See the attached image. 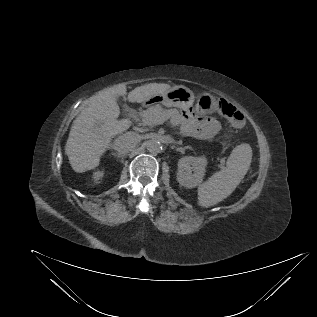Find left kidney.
Wrapping results in <instances>:
<instances>
[{
    "mask_svg": "<svg viewBox=\"0 0 317 317\" xmlns=\"http://www.w3.org/2000/svg\"><path fill=\"white\" fill-rule=\"evenodd\" d=\"M207 159L205 156H185L178 161L177 180L181 186L194 188L204 177Z\"/></svg>",
    "mask_w": 317,
    "mask_h": 317,
    "instance_id": "5707ae66",
    "label": "left kidney"
}]
</instances>
